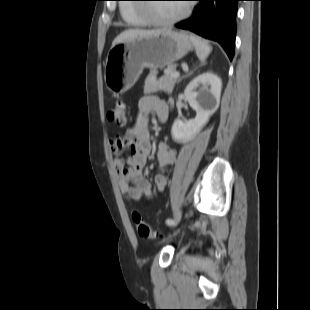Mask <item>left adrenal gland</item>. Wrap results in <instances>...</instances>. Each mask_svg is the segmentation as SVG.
I'll return each mask as SVG.
<instances>
[{
    "instance_id": "left-adrenal-gland-1",
    "label": "left adrenal gland",
    "mask_w": 310,
    "mask_h": 310,
    "mask_svg": "<svg viewBox=\"0 0 310 310\" xmlns=\"http://www.w3.org/2000/svg\"><path fill=\"white\" fill-rule=\"evenodd\" d=\"M195 69H196V68H195ZM192 73H193V71H190L187 75L181 77V78L177 81V83H179L182 79L188 77V76L191 75Z\"/></svg>"
}]
</instances>
